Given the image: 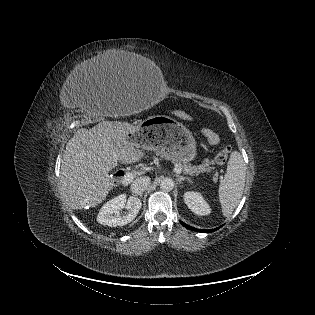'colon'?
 Here are the masks:
<instances>
[{
	"label": "colon",
	"mask_w": 315,
	"mask_h": 315,
	"mask_svg": "<svg viewBox=\"0 0 315 315\" xmlns=\"http://www.w3.org/2000/svg\"><path fill=\"white\" fill-rule=\"evenodd\" d=\"M176 116L179 117L182 120H186L189 121L191 120V117L188 113L184 112V111H177L176 112ZM229 153H230V148L229 147H224L223 149H221L216 157H215V162L218 165H223L227 162L228 157H229Z\"/></svg>",
	"instance_id": "5ec220e1"
}]
</instances>
